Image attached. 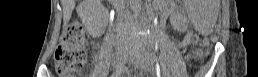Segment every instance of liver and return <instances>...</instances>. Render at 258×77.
Returning <instances> with one entry per match:
<instances>
[{"label":"liver","mask_w":258,"mask_h":77,"mask_svg":"<svg viewBox=\"0 0 258 77\" xmlns=\"http://www.w3.org/2000/svg\"><path fill=\"white\" fill-rule=\"evenodd\" d=\"M94 2H99L97 0H85L81 4V7H85L86 5L93 4ZM61 5L63 8V20L64 24H67L71 18L72 10L75 7V0H61Z\"/></svg>","instance_id":"1"}]
</instances>
